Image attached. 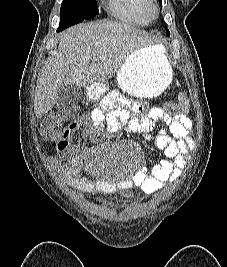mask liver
Here are the masks:
<instances>
[{"mask_svg":"<svg viewBox=\"0 0 227 267\" xmlns=\"http://www.w3.org/2000/svg\"><path fill=\"white\" fill-rule=\"evenodd\" d=\"M150 44L151 38L144 31L116 21L80 24L65 30L55 55L37 80L36 117L42 118L53 108L63 87L104 82L118 73L134 51Z\"/></svg>","mask_w":227,"mask_h":267,"instance_id":"6515ba94","label":"liver"}]
</instances>
